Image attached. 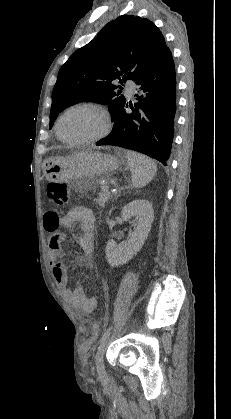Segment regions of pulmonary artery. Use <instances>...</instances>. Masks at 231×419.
Masks as SVG:
<instances>
[{
	"mask_svg": "<svg viewBox=\"0 0 231 419\" xmlns=\"http://www.w3.org/2000/svg\"><path fill=\"white\" fill-rule=\"evenodd\" d=\"M135 87H136V85H135V82L133 80H128L126 82L125 90H126V94H127L128 97L133 96V92H134Z\"/></svg>",
	"mask_w": 231,
	"mask_h": 419,
	"instance_id": "obj_1",
	"label": "pulmonary artery"
}]
</instances>
